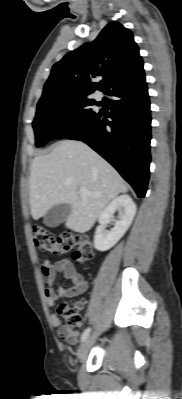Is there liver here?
<instances>
[{
	"label": "liver",
	"mask_w": 182,
	"mask_h": 399,
	"mask_svg": "<svg viewBox=\"0 0 182 399\" xmlns=\"http://www.w3.org/2000/svg\"><path fill=\"white\" fill-rule=\"evenodd\" d=\"M80 187L88 194L80 195ZM127 191L119 173L80 141H60L49 154L36 156L32 162L29 195L34 220L57 204H69L65 226L84 233L114 197Z\"/></svg>",
	"instance_id": "1"
}]
</instances>
